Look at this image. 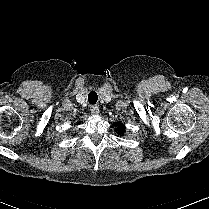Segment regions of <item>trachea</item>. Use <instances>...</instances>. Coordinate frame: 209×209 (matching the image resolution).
Returning a JSON list of instances; mask_svg holds the SVG:
<instances>
[{"mask_svg":"<svg viewBox=\"0 0 209 209\" xmlns=\"http://www.w3.org/2000/svg\"><path fill=\"white\" fill-rule=\"evenodd\" d=\"M98 100V95L95 91H91L89 94H88V101L90 104H96Z\"/></svg>","mask_w":209,"mask_h":209,"instance_id":"1","label":"trachea"}]
</instances>
